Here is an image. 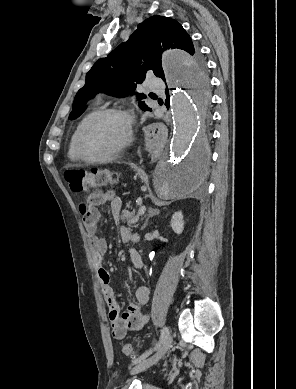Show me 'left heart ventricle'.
<instances>
[{
    "label": "left heart ventricle",
    "instance_id": "b2bd125f",
    "mask_svg": "<svg viewBox=\"0 0 296 389\" xmlns=\"http://www.w3.org/2000/svg\"><path fill=\"white\" fill-rule=\"evenodd\" d=\"M126 136V121L118 115H107L95 121L83 139L84 152L89 157L102 156L116 148Z\"/></svg>",
    "mask_w": 296,
    "mask_h": 389
}]
</instances>
